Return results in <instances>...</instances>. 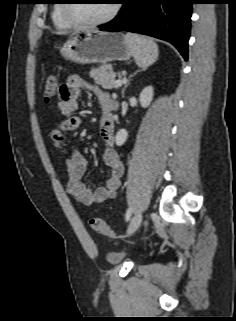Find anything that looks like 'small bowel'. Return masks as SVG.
Wrapping results in <instances>:
<instances>
[{"label":"small bowel","mask_w":236,"mask_h":321,"mask_svg":"<svg viewBox=\"0 0 236 321\" xmlns=\"http://www.w3.org/2000/svg\"><path fill=\"white\" fill-rule=\"evenodd\" d=\"M82 90L94 94L100 102L102 110L100 130L107 144L102 158L110 170V176L105 187L95 189H92L82 180L87 169L86 158L78 148L67 149L65 147L64 133L74 131L81 125V119L70 116V114L78 110V101ZM110 100V95L106 90L78 75H70L59 89L57 107L60 113L66 117L57 128L52 130L51 142L60 151L66 165L67 193L84 205H95L107 200H114L117 197L120 180L124 173L123 164L114 148L115 122L108 108Z\"/></svg>","instance_id":"c3829d8e"}]
</instances>
